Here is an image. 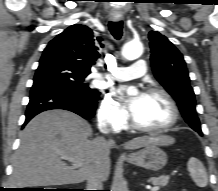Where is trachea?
<instances>
[{
    "instance_id": "obj_1",
    "label": "trachea",
    "mask_w": 218,
    "mask_h": 191,
    "mask_svg": "<svg viewBox=\"0 0 218 191\" xmlns=\"http://www.w3.org/2000/svg\"><path fill=\"white\" fill-rule=\"evenodd\" d=\"M108 26L114 38L119 40L122 37V22H109Z\"/></svg>"
}]
</instances>
